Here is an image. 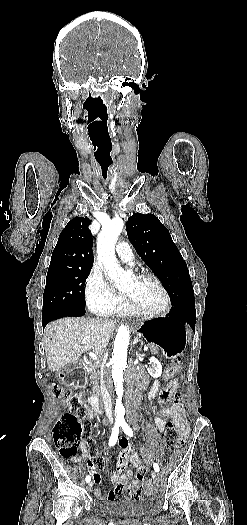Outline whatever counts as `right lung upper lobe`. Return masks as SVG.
Wrapping results in <instances>:
<instances>
[{"label":"right lung upper lobe","instance_id":"right-lung-upper-lobe-1","mask_svg":"<svg viewBox=\"0 0 247 525\" xmlns=\"http://www.w3.org/2000/svg\"><path fill=\"white\" fill-rule=\"evenodd\" d=\"M87 217H75L60 233L48 271L91 269L92 235Z\"/></svg>","mask_w":247,"mask_h":525}]
</instances>
